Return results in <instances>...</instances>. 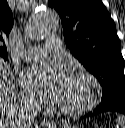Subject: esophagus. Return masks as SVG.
<instances>
[{
	"instance_id": "1",
	"label": "esophagus",
	"mask_w": 125,
	"mask_h": 128,
	"mask_svg": "<svg viewBox=\"0 0 125 128\" xmlns=\"http://www.w3.org/2000/svg\"><path fill=\"white\" fill-rule=\"evenodd\" d=\"M42 125H45V126H53V122L51 121V120H49V119H47V118H44L43 120H42Z\"/></svg>"
}]
</instances>
